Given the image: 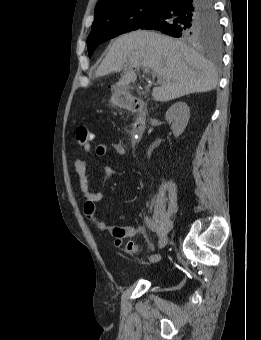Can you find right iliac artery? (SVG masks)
I'll return each instance as SVG.
<instances>
[{
    "label": "right iliac artery",
    "mask_w": 261,
    "mask_h": 340,
    "mask_svg": "<svg viewBox=\"0 0 261 340\" xmlns=\"http://www.w3.org/2000/svg\"><path fill=\"white\" fill-rule=\"evenodd\" d=\"M144 220H145V223H146L147 227H148L152 232H155V233L158 232V227H157L156 223H155L150 217L146 216V217L144 218ZM160 259H161V256H160V254H158V253L152 254V255L149 257V261H150V263H152V264L158 263V262L160 261Z\"/></svg>",
    "instance_id": "1"
}]
</instances>
